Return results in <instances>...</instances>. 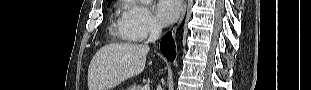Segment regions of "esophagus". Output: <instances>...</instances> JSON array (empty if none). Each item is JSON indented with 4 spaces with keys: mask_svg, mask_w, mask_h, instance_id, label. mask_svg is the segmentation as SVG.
I'll return each mask as SVG.
<instances>
[{
    "mask_svg": "<svg viewBox=\"0 0 311 90\" xmlns=\"http://www.w3.org/2000/svg\"><path fill=\"white\" fill-rule=\"evenodd\" d=\"M186 10H187V1L184 2L182 13H181L180 19L177 23L176 29H178L181 26V24L185 18V15H186Z\"/></svg>",
    "mask_w": 311,
    "mask_h": 90,
    "instance_id": "34e87169",
    "label": "esophagus"
}]
</instances>
